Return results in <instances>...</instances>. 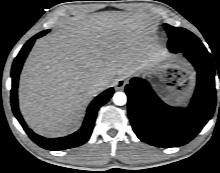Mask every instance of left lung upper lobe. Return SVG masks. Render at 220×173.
Instances as JSON below:
<instances>
[{"mask_svg":"<svg viewBox=\"0 0 220 173\" xmlns=\"http://www.w3.org/2000/svg\"><path fill=\"white\" fill-rule=\"evenodd\" d=\"M164 26L170 38L169 48L175 52H181L183 49L193 52H206L201 41L188 30L172 27L168 24Z\"/></svg>","mask_w":220,"mask_h":173,"instance_id":"1","label":"left lung upper lobe"}]
</instances>
